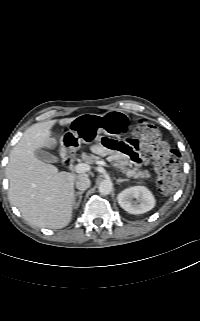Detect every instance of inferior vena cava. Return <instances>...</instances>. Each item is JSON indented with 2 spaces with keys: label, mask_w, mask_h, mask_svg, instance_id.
<instances>
[{
  "label": "inferior vena cava",
  "mask_w": 200,
  "mask_h": 321,
  "mask_svg": "<svg viewBox=\"0 0 200 321\" xmlns=\"http://www.w3.org/2000/svg\"><path fill=\"white\" fill-rule=\"evenodd\" d=\"M90 187V179L87 176H79L76 180V188L84 191Z\"/></svg>",
  "instance_id": "inferior-vena-cava-1"
}]
</instances>
